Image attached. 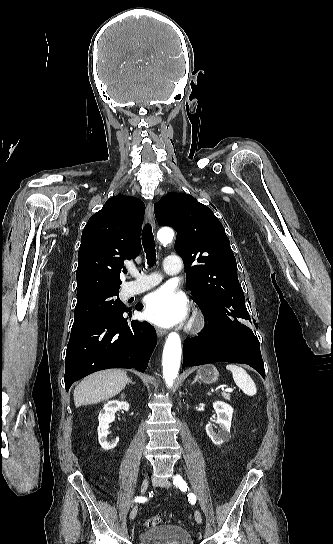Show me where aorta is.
<instances>
[{
	"label": "aorta",
	"mask_w": 333,
	"mask_h": 544,
	"mask_svg": "<svg viewBox=\"0 0 333 544\" xmlns=\"http://www.w3.org/2000/svg\"><path fill=\"white\" fill-rule=\"evenodd\" d=\"M157 237L163 245L173 240L174 233L170 228H162L158 231ZM181 340L176 332H171L165 342L163 350V377L168 387H172L177 378L181 361Z\"/></svg>",
	"instance_id": "762f6f07"
}]
</instances>
